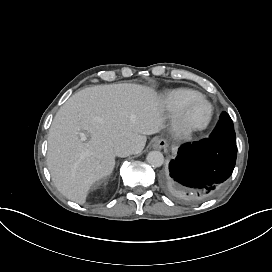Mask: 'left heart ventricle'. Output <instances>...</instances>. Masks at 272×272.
<instances>
[{"label": "left heart ventricle", "instance_id": "b2bd125f", "mask_svg": "<svg viewBox=\"0 0 272 272\" xmlns=\"http://www.w3.org/2000/svg\"><path fill=\"white\" fill-rule=\"evenodd\" d=\"M210 115L208 104L201 99H196L184 112L185 122L191 125H202L207 122Z\"/></svg>", "mask_w": 272, "mask_h": 272}]
</instances>
